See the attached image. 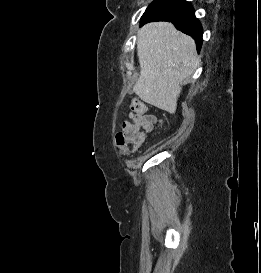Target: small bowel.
I'll list each match as a JSON object with an SVG mask.
<instances>
[{"label":"small bowel","mask_w":261,"mask_h":273,"mask_svg":"<svg viewBox=\"0 0 261 273\" xmlns=\"http://www.w3.org/2000/svg\"><path fill=\"white\" fill-rule=\"evenodd\" d=\"M129 117L133 120L134 116L132 111L129 113ZM131 122L126 121L123 124V129H126ZM161 124V121L154 115H147L145 118H143L140 121H137L134 124V127L137 129H145L147 131H152L153 129L157 128Z\"/></svg>","instance_id":"1"}]
</instances>
